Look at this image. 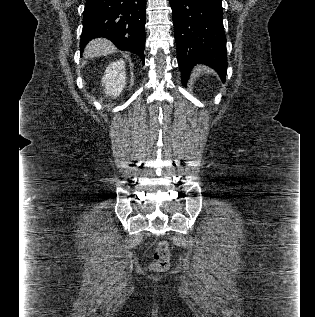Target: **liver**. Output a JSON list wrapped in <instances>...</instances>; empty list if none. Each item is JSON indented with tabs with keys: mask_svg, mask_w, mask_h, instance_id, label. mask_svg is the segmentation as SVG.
Masks as SVG:
<instances>
[{
	"mask_svg": "<svg viewBox=\"0 0 315 317\" xmlns=\"http://www.w3.org/2000/svg\"><path fill=\"white\" fill-rule=\"evenodd\" d=\"M115 51L113 44L106 39H94L85 48L84 55L88 58L106 56Z\"/></svg>",
	"mask_w": 315,
	"mask_h": 317,
	"instance_id": "liver-1",
	"label": "liver"
}]
</instances>
